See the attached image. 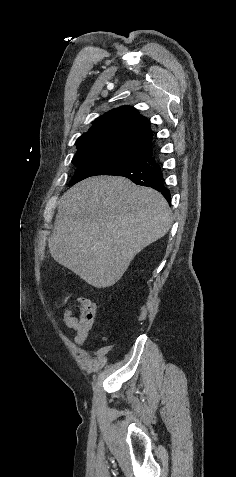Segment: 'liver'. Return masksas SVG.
<instances>
[{
	"label": "liver",
	"instance_id": "6515ba94",
	"mask_svg": "<svg viewBox=\"0 0 236 477\" xmlns=\"http://www.w3.org/2000/svg\"><path fill=\"white\" fill-rule=\"evenodd\" d=\"M171 226V210L159 192L124 177H92L62 196L48 248L86 283L106 288Z\"/></svg>",
	"mask_w": 236,
	"mask_h": 477
}]
</instances>
